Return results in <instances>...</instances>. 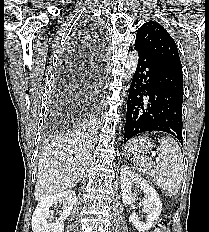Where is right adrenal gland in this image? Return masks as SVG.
<instances>
[{"label":"right adrenal gland","mask_w":209,"mask_h":232,"mask_svg":"<svg viewBox=\"0 0 209 232\" xmlns=\"http://www.w3.org/2000/svg\"><path fill=\"white\" fill-rule=\"evenodd\" d=\"M85 177V174L82 176V178H84Z\"/></svg>","instance_id":"1"}]
</instances>
